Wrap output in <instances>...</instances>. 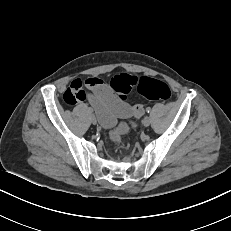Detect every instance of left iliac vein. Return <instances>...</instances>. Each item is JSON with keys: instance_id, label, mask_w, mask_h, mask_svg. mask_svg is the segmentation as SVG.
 I'll list each match as a JSON object with an SVG mask.
<instances>
[{"instance_id": "obj_1", "label": "left iliac vein", "mask_w": 231, "mask_h": 231, "mask_svg": "<svg viewBox=\"0 0 231 231\" xmlns=\"http://www.w3.org/2000/svg\"><path fill=\"white\" fill-rule=\"evenodd\" d=\"M150 123H151V119H150L149 116H146V117L143 118L142 124H143L145 127L149 126Z\"/></svg>"}]
</instances>
